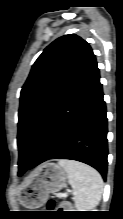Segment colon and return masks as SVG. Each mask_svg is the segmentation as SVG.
Segmentation results:
<instances>
[{
	"label": "colon",
	"instance_id": "colon-1",
	"mask_svg": "<svg viewBox=\"0 0 123 219\" xmlns=\"http://www.w3.org/2000/svg\"><path fill=\"white\" fill-rule=\"evenodd\" d=\"M49 205H50V207L55 206V205H56V201L53 200V199L50 200ZM59 208H60L61 210H70V209H71V206H70V204L67 203V202H62V203L59 204Z\"/></svg>",
	"mask_w": 123,
	"mask_h": 219
}]
</instances>
